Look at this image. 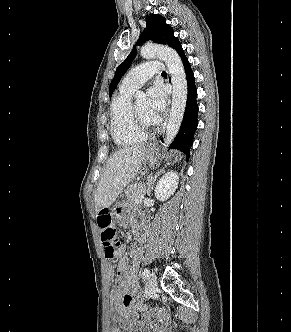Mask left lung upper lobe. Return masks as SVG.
Here are the masks:
<instances>
[{
  "mask_svg": "<svg viewBox=\"0 0 291 332\" xmlns=\"http://www.w3.org/2000/svg\"><path fill=\"white\" fill-rule=\"evenodd\" d=\"M146 24L147 28L141 33L140 38L137 41L136 45H141L149 38H151L153 42L158 44L168 45L173 49H175L177 52L182 48L178 38L174 36L173 29L171 28L170 25L166 24V20L161 15L154 14L148 16L146 18ZM136 45L131 51V53L128 55V57L124 60V62L121 63L116 69L115 77L111 81L109 87L110 95L117 87L120 79L122 78L126 70L132 64V61L137 53Z\"/></svg>",
  "mask_w": 291,
  "mask_h": 332,
  "instance_id": "obj_1",
  "label": "left lung upper lobe"
}]
</instances>
